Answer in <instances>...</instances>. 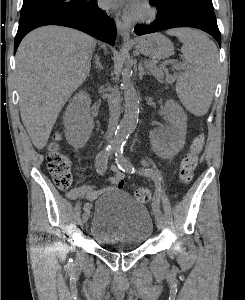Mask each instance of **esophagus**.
I'll list each match as a JSON object with an SVG mask.
<instances>
[{"label":"esophagus","instance_id":"1","mask_svg":"<svg viewBox=\"0 0 245 300\" xmlns=\"http://www.w3.org/2000/svg\"><path fill=\"white\" fill-rule=\"evenodd\" d=\"M116 27L119 35L124 41L130 40V25L128 23L122 22L119 19H116Z\"/></svg>","mask_w":245,"mask_h":300}]
</instances>
